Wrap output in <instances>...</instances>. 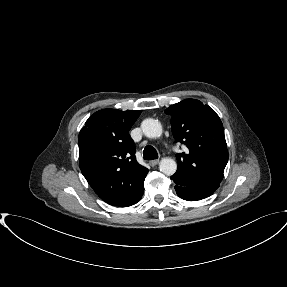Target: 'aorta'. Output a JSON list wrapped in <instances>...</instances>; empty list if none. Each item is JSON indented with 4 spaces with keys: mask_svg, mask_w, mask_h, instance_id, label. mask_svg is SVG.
<instances>
[{
    "mask_svg": "<svg viewBox=\"0 0 287 287\" xmlns=\"http://www.w3.org/2000/svg\"><path fill=\"white\" fill-rule=\"evenodd\" d=\"M141 129L148 138H158L162 135V126L156 119L147 118L142 121ZM160 171L167 175H173L177 170V164L172 158H163L159 164Z\"/></svg>",
    "mask_w": 287,
    "mask_h": 287,
    "instance_id": "aorta-1",
    "label": "aorta"
}]
</instances>
